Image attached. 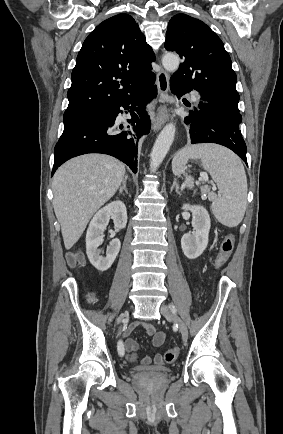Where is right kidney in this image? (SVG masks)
Segmentation results:
<instances>
[{"mask_svg": "<svg viewBox=\"0 0 283 434\" xmlns=\"http://www.w3.org/2000/svg\"><path fill=\"white\" fill-rule=\"evenodd\" d=\"M110 218L115 228L121 230L127 224L126 206L121 201H114L100 209L91 220L86 234V253L91 264L99 271L108 270L114 263L121 247L119 239H113L107 247L106 256L100 255L98 247L103 242V232Z\"/></svg>", "mask_w": 283, "mask_h": 434, "instance_id": "right-kidney-1", "label": "right kidney"}]
</instances>
